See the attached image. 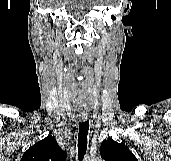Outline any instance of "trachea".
Wrapping results in <instances>:
<instances>
[{
	"mask_svg": "<svg viewBox=\"0 0 171 161\" xmlns=\"http://www.w3.org/2000/svg\"><path fill=\"white\" fill-rule=\"evenodd\" d=\"M89 131V121L79 123V133H78V156L81 159L87 149V136Z\"/></svg>",
	"mask_w": 171,
	"mask_h": 161,
	"instance_id": "1",
	"label": "trachea"
}]
</instances>
